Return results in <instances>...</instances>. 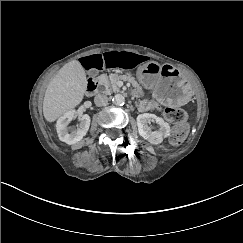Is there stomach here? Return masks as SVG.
Wrapping results in <instances>:
<instances>
[{"label":"stomach","mask_w":243,"mask_h":243,"mask_svg":"<svg viewBox=\"0 0 243 243\" xmlns=\"http://www.w3.org/2000/svg\"><path fill=\"white\" fill-rule=\"evenodd\" d=\"M137 78L166 106L185 105L192 96V89L186 78L170 64L147 62L138 69Z\"/></svg>","instance_id":"stomach-1"}]
</instances>
